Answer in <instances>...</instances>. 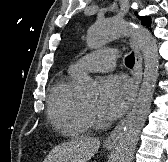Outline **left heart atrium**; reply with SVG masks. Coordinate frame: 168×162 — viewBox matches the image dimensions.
<instances>
[{"instance_id": "1", "label": "left heart atrium", "mask_w": 168, "mask_h": 162, "mask_svg": "<svg viewBox=\"0 0 168 162\" xmlns=\"http://www.w3.org/2000/svg\"><path fill=\"white\" fill-rule=\"evenodd\" d=\"M132 96V84L125 76L106 77L102 81L97 112L104 119H116L126 110Z\"/></svg>"}]
</instances>
